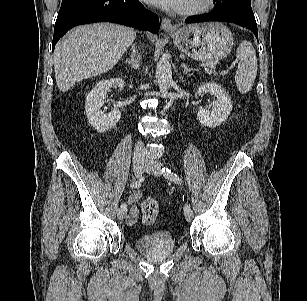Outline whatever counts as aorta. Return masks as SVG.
<instances>
[{
  "instance_id": "obj_1",
  "label": "aorta",
  "mask_w": 307,
  "mask_h": 301,
  "mask_svg": "<svg viewBox=\"0 0 307 301\" xmlns=\"http://www.w3.org/2000/svg\"><path fill=\"white\" fill-rule=\"evenodd\" d=\"M156 79L159 90L162 94L167 93L170 88L172 80V68L169 60L165 57L160 58L156 67Z\"/></svg>"
}]
</instances>
